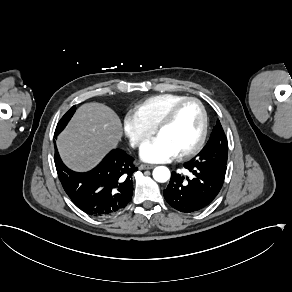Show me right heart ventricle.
Wrapping results in <instances>:
<instances>
[{"label":"right heart ventricle","mask_w":292,"mask_h":292,"mask_svg":"<svg viewBox=\"0 0 292 292\" xmlns=\"http://www.w3.org/2000/svg\"><path fill=\"white\" fill-rule=\"evenodd\" d=\"M187 96L178 93H162L148 97L132 107L142 121L150 128H155L159 118L176 101Z\"/></svg>","instance_id":"e07e8e85"}]
</instances>
